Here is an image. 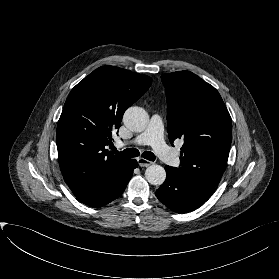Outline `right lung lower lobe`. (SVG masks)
Masks as SVG:
<instances>
[{
	"instance_id": "1",
	"label": "right lung lower lobe",
	"mask_w": 279,
	"mask_h": 279,
	"mask_svg": "<svg viewBox=\"0 0 279 279\" xmlns=\"http://www.w3.org/2000/svg\"><path fill=\"white\" fill-rule=\"evenodd\" d=\"M137 166V161L131 159L127 170L114 183H112V185L101 191L96 196L81 202L90 207H100L115 200L124 192L130 178L132 177L133 170Z\"/></svg>"
}]
</instances>
